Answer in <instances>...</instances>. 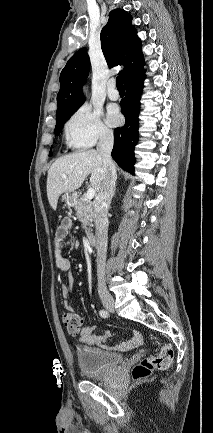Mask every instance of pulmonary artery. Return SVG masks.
Wrapping results in <instances>:
<instances>
[{
    "instance_id": "pulmonary-artery-1",
    "label": "pulmonary artery",
    "mask_w": 213,
    "mask_h": 433,
    "mask_svg": "<svg viewBox=\"0 0 213 433\" xmlns=\"http://www.w3.org/2000/svg\"><path fill=\"white\" fill-rule=\"evenodd\" d=\"M107 96L111 100H117L119 98V93L116 89L114 80H110L107 84Z\"/></svg>"
}]
</instances>
